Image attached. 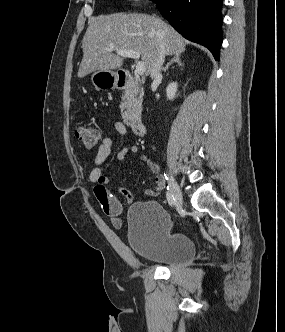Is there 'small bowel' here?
<instances>
[{
    "label": "small bowel",
    "instance_id": "small-bowel-1",
    "mask_svg": "<svg viewBox=\"0 0 285 332\" xmlns=\"http://www.w3.org/2000/svg\"><path fill=\"white\" fill-rule=\"evenodd\" d=\"M113 126L114 130L119 135L124 136L127 134V127L123 122L116 121ZM112 144L113 142L110 137L105 136L102 139L94 158L89 179L94 184L93 192L103 211L110 217L112 225L116 228H120L122 226L120 214L123 210V203L119 195L130 204L134 200V194L123 187H117L115 188V191H110L106 188L109 184V178L103 173V164L111 154ZM137 153L138 147L136 145H127L119 150L117 153V159L123 161L127 156L135 155ZM141 160L148 165L149 169L156 176V185L152 188L146 189L143 194L147 197H155L161 192L164 185V179L160 175L159 166L155 162L150 160L147 156H142Z\"/></svg>",
    "mask_w": 285,
    "mask_h": 332
}]
</instances>
